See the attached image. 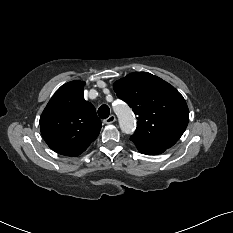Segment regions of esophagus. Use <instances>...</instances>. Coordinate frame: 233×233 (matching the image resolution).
Masks as SVG:
<instances>
[{
    "instance_id": "1",
    "label": "esophagus",
    "mask_w": 233,
    "mask_h": 233,
    "mask_svg": "<svg viewBox=\"0 0 233 233\" xmlns=\"http://www.w3.org/2000/svg\"><path fill=\"white\" fill-rule=\"evenodd\" d=\"M115 121H116V116L113 114H111L108 118L104 120L106 124H111L114 123Z\"/></svg>"
}]
</instances>
